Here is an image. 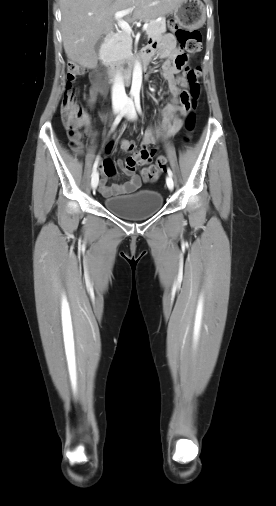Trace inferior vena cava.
<instances>
[{
	"mask_svg": "<svg viewBox=\"0 0 276 506\" xmlns=\"http://www.w3.org/2000/svg\"><path fill=\"white\" fill-rule=\"evenodd\" d=\"M127 96L125 93L124 83L122 78L117 76L113 86H112V101L113 102H124L126 101Z\"/></svg>",
	"mask_w": 276,
	"mask_h": 506,
	"instance_id": "1",
	"label": "inferior vena cava"
}]
</instances>
